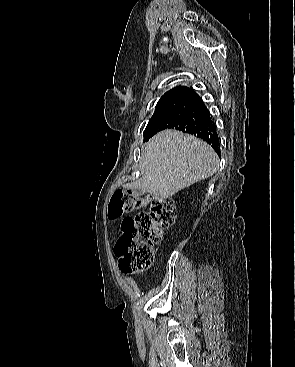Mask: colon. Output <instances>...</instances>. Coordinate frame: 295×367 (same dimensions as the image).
Segmentation results:
<instances>
[{
  "mask_svg": "<svg viewBox=\"0 0 295 367\" xmlns=\"http://www.w3.org/2000/svg\"><path fill=\"white\" fill-rule=\"evenodd\" d=\"M147 204H150L149 211L122 221L115 255L123 273L136 272L152 264L154 247L163 230L175 222L177 211L175 203L169 198L139 196L124 190H117L112 196L108 211L111 219Z\"/></svg>",
  "mask_w": 295,
  "mask_h": 367,
  "instance_id": "colon-1",
  "label": "colon"
}]
</instances>
